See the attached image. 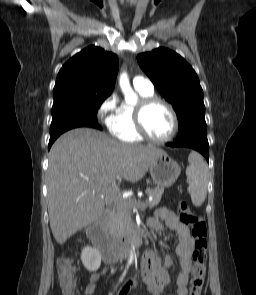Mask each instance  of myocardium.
Wrapping results in <instances>:
<instances>
[{"label":"myocardium","mask_w":256,"mask_h":295,"mask_svg":"<svg viewBox=\"0 0 256 295\" xmlns=\"http://www.w3.org/2000/svg\"><path fill=\"white\" fill-rule=\"evenodd\" d=\"M157 103L164 105L172 116V121H173L172 131L168 136L164 138H156L152 136L147 130L146 125L144 123V114L146 110L152 105ZM134 123L139 135H141L146 140H149L154 143L169 142L170 140L174 138L179 128L178 116L173 106L165 99L157 97V96H151V97L140 99L138 104L134 107Z\"/></svg>","instance_id":"obj_1"}]
</instances>
